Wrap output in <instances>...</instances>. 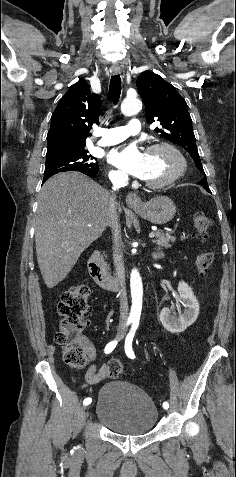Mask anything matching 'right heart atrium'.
I'll return each mask as SVG.
<instances>
[{"mask_svg": "<svg viewBox=\"0 0 236 477\" xmlns=\"http://www.w3.org/2000/svg\"><path fill=\"white\" fill-rule=\"evenodd\" d=\"M109 177L113 181H122L125 179V175L120 170H111L109 172Z\"/></svg>", "mask_w": 236, "mask_h": 477, "instance_id": "1", "label": "right heart atrium"}]
</instances>
